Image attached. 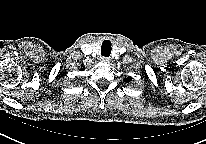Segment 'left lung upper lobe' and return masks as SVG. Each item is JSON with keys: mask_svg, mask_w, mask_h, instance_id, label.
I'll return each mask as SVG.
<instances>
[{"mask_svg": "<svg viewBox=\"0 0 206 144\" xmlns=\"http://www.w3.org/2000/svg\"><path fill=\"white\" fill-rule=\"evenodd\" d=\"M132 80V78L130 76H128L127 78L123 79L124 82L129 83Z\"/></svg>", "mask_w": 206, "mask_h": 144, "instance_id": "5c2ea615", "label": "left lung upper lobe"}]
</instances>
